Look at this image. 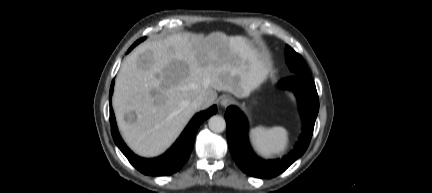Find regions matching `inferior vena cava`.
<instances>
[{
	"mask_svg": "<svg viewBox=\"0 0 432 193\" xmlns=\"http://www.w3.org/2000/svg\"><path fill=\"white\" fill-rule=\"evenodd\" d=\"M203 103H204L203 97L199 96L195 100H193L190 105H191V107L194 110L197 111V110H199L201 108V106L203 105Z\"/></svg>",
	"mask_w": 432,
	"mask_h": 193,
	"instance_id": "602c4592",
	"label": "inferior vena cava"
}]
</instances>
